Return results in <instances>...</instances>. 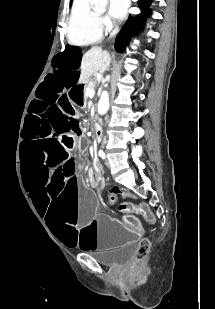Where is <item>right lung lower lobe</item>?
Here are the masks:
<instances>
[{
	"mask_svg": "<svg viewBox=\"0 0 215 309\" xmlns=\"http://www.w3.org/2000/svg\"><path fill=\"white\" fill-rule=\"evenodd\" d=\"M152 0H139V6L142 13L137 18L129 17L127 23L121 29L116 38L115 49L119 52L125 50V46L128 44L131 36L137 33L143 26L145 18L150 14L148 6Z\"/></svg>",
	"mask_w": 215,
	"mask_h": 309,
	"instance_id": "98d812e1",
	"label": "right lung lower lobe"
}]
</instances>
